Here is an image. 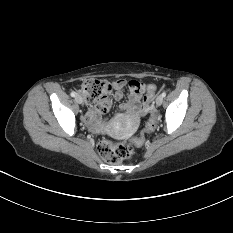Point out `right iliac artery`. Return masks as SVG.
Returning a JSON list of instances; mask_svg holds the SVG:
<instances>
[{
	"instance_id": "82829eb1",
	"label": "right iliac artery",
	"mask_w": 233,
	"mask_h": 233,
	"mask_svg": "<svg viewBox=\"0 0 233 233\" xmlns=\"http://www.w3.org/2000/svg\"><path fill=\"white\" fill-rule=\"evenodd\" d=\"M70 95H71L72 97H75V96H76V93L72 91Z\"/></svg>"
}]
</instances>
